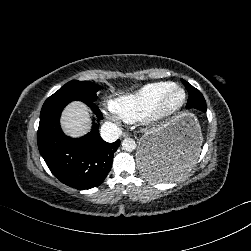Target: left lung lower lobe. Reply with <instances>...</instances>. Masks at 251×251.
<instances>
[{
	"mask_svg": "<svg viewBox=\"0 0 251 251\" xmlns=\"http://www.w3.org/2000/svg\"><path fill=\"white\" fill-rule=\"evenodd\" d=\"M187 109H197L206 112V105L199 102H187ZM178 164L177 158L167 146L161 144H148L144 147L140 156L142 172L152 179H160L167 176Z\"/></svg>",
	"mask_w": 251,
	"mask_h": 251,
	"instance_id": "left-lung-lower-lobe-1",
	"label": "left lung lower lobe"
}]
</instances>
